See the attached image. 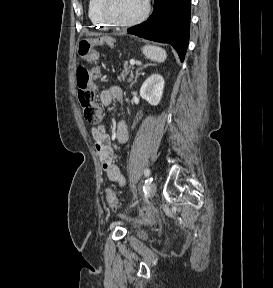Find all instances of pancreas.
I'll return each mask as SVG.
<instances>
[{
  "label": "pancreas",
  "instance_id": "pancreas-1",
  "mask_svg": "<svg viewBox=\"0 0 273 288\" xmlns=\"http://www.w3.org/2000/svg\"><path fill=\"white\" fill-rule=\"evenodd\" d=\"M133 68L132 67H128L127 65L124 66V70L121 71L120 75L118 76V80L122 81L123 79H125V77L127 75H130L129 81L131 80L132 76H133Z\"/></svg>",
  "mask_w": 273,
  "mask_h": 288
}]
</instances>
